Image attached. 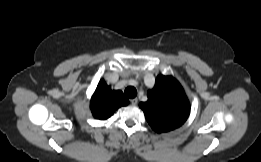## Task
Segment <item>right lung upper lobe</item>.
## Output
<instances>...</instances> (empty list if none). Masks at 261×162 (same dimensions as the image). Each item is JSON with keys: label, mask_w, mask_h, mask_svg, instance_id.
<instances>
[{"label": "right lung upper lobe", "mask_w": 261, "mask_h": 162, "mask_svg": "<svg viewBox=\"0 0 261 162\" xmlns=\"http://www.w3.org/2000/svg\"><path fill=\"white\" fill-rule=\"evenodd\" d=\"M129 101L120 90H112L104 80L98 86L91 98L90 108L96 119L105 120L121 106L128 105Z\"/></svg>", "instance_id": "1"}]
</instances>
